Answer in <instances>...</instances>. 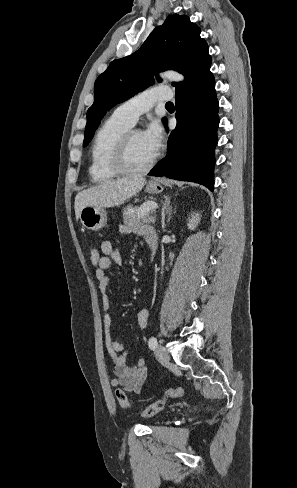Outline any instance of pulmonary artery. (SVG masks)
I'll use <instances>...</instances> for the list:
<instances>
[{
  "mask_svg": "<svg viewBox=\"0 0 297 488\" xmlns=\"http://www.w3.org/2000/svg\"><path fill=\"white\" fill-rule=\"evenodd\" d=\"M172 93L164 87H152L128 99L118 106L114 113L134 125L139 116L149 111L155 102L170 101Z\"/></svg>",
  "mask_w": 297,
  "mask_h": 488,
  "instance_id": "pulmonary-artery-1",
  "label": "pulmonary artery"
}]
</instances>
